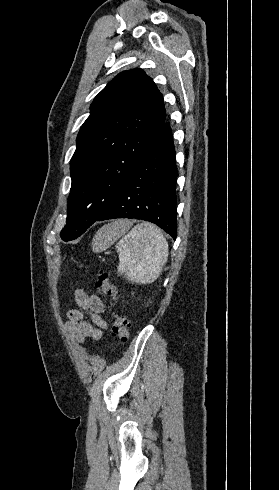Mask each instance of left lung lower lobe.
Instances as JSON below:
<instances>
[{"instance_id":"obj_1","label":"left lung lower lobe","mask_w":279,"mask_h":490,"mask_svg":"<svg viewBox=\"0 0 279 490\" xmlns=\"http://www.w3.org/2000/svg\"><path fill=\"white\" fill-rule=\"evenodd\" d=\"M175 149L168 122L148 142L97 221L130 218L152 222L176 239Z\"/></svg>"}]
</instances>
